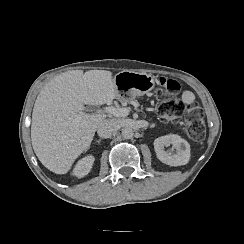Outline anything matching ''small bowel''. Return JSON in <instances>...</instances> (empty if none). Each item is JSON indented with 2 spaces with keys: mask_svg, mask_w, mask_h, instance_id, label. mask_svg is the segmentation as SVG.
<instances>
[{
  "mask_svg": "<svg viewBox=\"0 0 244 244\" xmlns=\"http://www.w3.org/2000/svg\"><path fill=\"white\" fill-rule=\"evenodd\" d=\"M181 99L185 104H190L195 101V94L189 90H185L181 94Z\"/></svg>",
  "mask_w": 244,
  "mask_h": 244,
  "instance_id": "1",
  "label": "small bowel"
}]
</instances>
